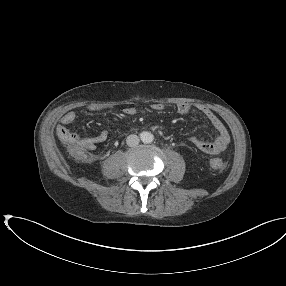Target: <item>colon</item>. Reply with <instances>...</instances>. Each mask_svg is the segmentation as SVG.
<instances>
[{"label":"colon","instance_id":"obj_1","mask_svg":"<svg viewBox=\"0 0 286 286\" xmlns=\"http://www.w3.org/2000/svg\"><path fill=\"white\" fill-rule=\"evenodd\" d=\"M63 143L73 157L82 161H87L91 158L90 155L80 146L78 138L75 135L65 138ZM210 166L213 169H222L224 167V162L221 159H211Z\"/></svg>","mask_w":286,"mask_h":286}]
</instances>
